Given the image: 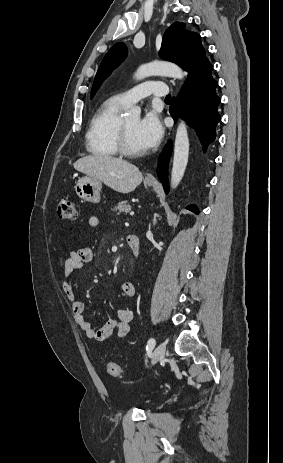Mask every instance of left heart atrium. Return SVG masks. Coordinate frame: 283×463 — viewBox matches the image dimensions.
<instances>
[{"mask_svg":"<svg viewBox=\"0 0 283 463\" xmlns=\"http://www.w3.org/2000/svg\"><path fill=\"white\" fill-rule=\"evenodd\" d=\"M136 136L143 150L154 149L163 136V127L158 116L148 113L140 119L136 127Z\"/></svg>","mask_w":283,"mask_h":463,"instance_id":"39dd6f15","label":"left heart atrium"}]
</instances>
